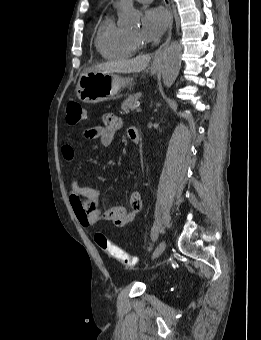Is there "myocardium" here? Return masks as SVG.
<instances>
[{
    "instance_id": "obj_1",
    "label": "myocardium",
    "mask_w": 261,
    "mask_h": 340,
    "mask_svg": "<svg viewBox=\"0 0 261 340\" xmlns=\"http://www.w3.org/2000/svg\"><path fill=\"white\" fill-rule=\"evenodd\" d=\"M129 39L136 49L143 48V46H144L143 42L139 38H135V37H132L131 35H129Z\"/></svg>"
}]
</instances>
